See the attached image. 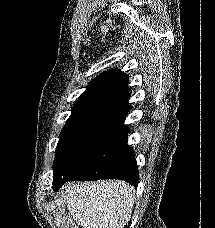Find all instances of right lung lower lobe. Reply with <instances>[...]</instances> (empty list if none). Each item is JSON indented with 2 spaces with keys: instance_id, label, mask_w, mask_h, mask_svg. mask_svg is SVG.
<instances>
[{
  "instance_id": "1",
  "label": "right lung lower lobe",
  "mask_w": 215,
  "mask_h": 228,
  "mask_svg": "<svg viewBox=\"0 0 215 228\" xmlns=\"http://www.w3.org/2000/svg\"><path fill=\"white\" fill-rule=\"evenodd\" d=\"M127 129L101 149L65 175L54 187L59 188L68 181H93L99 179L124 180L137 187L138 167L133 149L127 145Z\"/></svg>"
}]
</instances>
